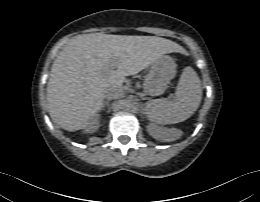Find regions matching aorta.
Returning <instances> with one entry per match:
<instances>
[{
	"mask_svg": "<svg viewBox=\"0 0 260 202\" xmlns=\"http://www.w3.org/2000/svg\"><path fill=\"white\" fill-rule=\"evenodd\" d=\"M133 107V103L130 101V100H124L122 102V109L125 110V111H129L131 110Z\"/></svg>",
	"mask_w": 260,
	"mask_h": 202,
	"instance_id": "762f6f07",
	"label": "aorta"
}]
</instances>
